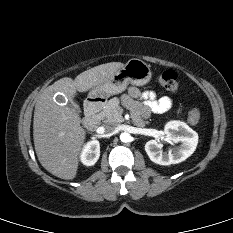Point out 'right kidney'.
Wrapping results in <instances>:
<instances>
[{
	"label": "right kidney",
	"mask_w": 233,
	"mask_h": 233,
	"mask_svg": "<svg viewBox=\"0 0 233 233\" xmlns=\"http://www.w3.org/2000/svg\"><path fill=\"white\" fill-rule=\"evenodd\" d=\"M100 156V144L97 140L89 141L81 153V162L86 166L94 165Z\"/></svg>",
	"instance_id": "1"
}]
</instances>
